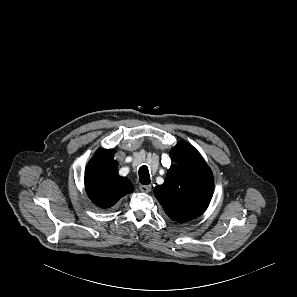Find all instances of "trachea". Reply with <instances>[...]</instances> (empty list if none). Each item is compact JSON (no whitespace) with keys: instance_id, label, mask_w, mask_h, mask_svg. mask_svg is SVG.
Listing matches in <instances>:
<instances>
[{"instance_id":"1","label":"trachea","mask_w":297,"mask_h":297,"mask_svg":"<svg viewBox=\"0 0 297 297\" xmlns=\"http://www.w3.org/2000/svg\"><path fill=\"white\" fill-rule=\"evenodd\" d=\"M139 182L143 185H148L151 182L149 170L146 165H143L139 168Z\"/></svg>"}]
</instances>
